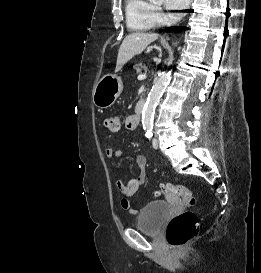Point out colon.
<instances>
[{
  "mask_svg": "<svg viewBox=\"0 0 261 273\" xmlns=\"http://www.w3.org/2000/svg\"><path fill=\"white\" fill-rule=\"evenodd\" d=\"M103 123L112 132H117L121 128L119 116H108ZM159 193L170 198L179 197L187 206H193L196 202L194 193L183 184L162 186ZM198 229L199 221L197 216L191 211H184L170 220L166 230V237L170 245L179 248L194 239L198 234Z\"/></svg>",
  "mask_w": 261,
  "mask_h": 273,
  "instance_id": "obj_1",
  "label": "colon"
}]
</instances>
